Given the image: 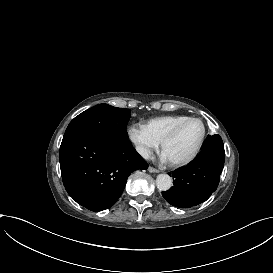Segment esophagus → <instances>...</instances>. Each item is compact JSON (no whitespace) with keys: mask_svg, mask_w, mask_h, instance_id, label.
Here are the masks:
<instances>
[{"mask_svg":"<svg viewBox=\"0 0 273 273\" xmlns=\"http://www.w3.org/2000/svg\"><path fill=\"white\" fill-rule=\"evenodd\" d=\"M148 171L150 173H159L160 171L158 169H155L154 167L149 166Z\"/></svg>","mask_w":273,"mask_h":273,"instance_id":"esophagus-1","label":"esophagus"}]
</instances>
